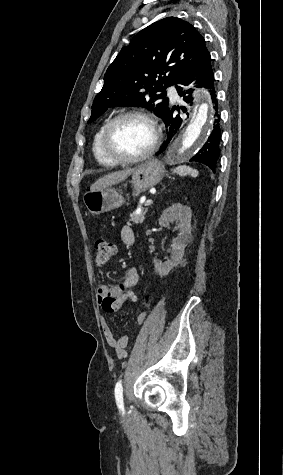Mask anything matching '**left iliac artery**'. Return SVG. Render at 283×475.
Instances as JSON below:
<instances>
[{"label": "left iliac artery", "instance_id": "44dca946", "mask_svg": "<svg viewBox=\"0 0 283 475\" xmlns=\"http://www.w3.org/2000/svg\"><path fill=\"white\" fill-rule=\"evenodd\" d=\"M115 398L117 405L120 410L124 413V403H123V387L121 382H117L115 386Z\"/></svg>", "mask_w": 283, "mask_h": 475}]
</instances>
